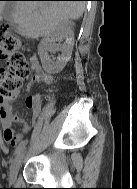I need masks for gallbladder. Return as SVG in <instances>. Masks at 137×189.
Instances as JSON below:
<instances>
[{
    "instance_id": "bac80fb5",
    "label": "gallbladder",
    "mask_w": 137,
    "mask_h": 189,
    "mask_svg": "<svg viewBox=\"0 0 137 189\" xmlns=\"http://www.w3.org/2000/svg\"><path fill=\"white\" fill-rule=\"evenodd\" d=\"M14 10H15V2L7 3L3 9V14L10 25V30H15L17 25L12 19V14Z\"/></svg>"
}]
</instances>
